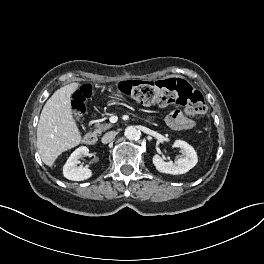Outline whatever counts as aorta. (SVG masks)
<instances>
[{"mask_svg": "<svg viewBox=\"0 0 264 264\" xmlns=\"http://www.w3.org/2000/svg\"><path fill=\"white\" fill-rule=\"evenodd\" d=\"M124 135L129 140H137L140 137L139 131L133 126H128L125 129Z\"/></svg>", "mask_w": 264, "mask_h": 264, "instance_id": "1", "label": "aorta"}]
</instances>
